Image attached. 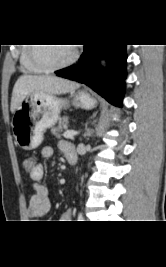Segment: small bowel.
I'll list each match as a JSON object with an SVG mask.
<instances>
[{
  "instance_id": "c3829d8e",
  "label": "small bowel",
  "mask_w": 166,
  "mask_h": 267,
  "mask_svg": "<svg viewBox=\"0 0 166 267\" xmlns=\"http://www.w3.org/2000/svg\"><path fill=\"white\" fill-rule=\"evenodd\" d=\"M60 150L65 157H76L74 147L67 141H61L59 144ZM54 150L51 146H45L41 149L40 155L42 159H49L53 156ZM32 180L33 194L31 196L28 216L31 218L44 217L52 208L49 192L47 188L41 183L44 176V166L41 163H35V166L29 171ZM73 219L72 210H67L61 217V222H71Z\"/></svg>"
}]
</instances>
